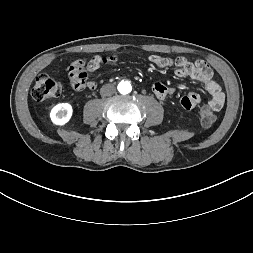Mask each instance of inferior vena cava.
Masks as SVG:
<instances>
[{"label":"inferior vena cava","mask_w":253,"mask_h":253,"mask_svg":"<svg viewBox=\"0 0 253 253\" xmlns=\"http://www.w3.org/2000/svg\"><path fill=\"white\" fill-rule=\"evenodd\" d=\"M116 92V88L112 84H105L100 89L101 96H111Z\"/></svg>","instance_id":"1"}]
</instances>
